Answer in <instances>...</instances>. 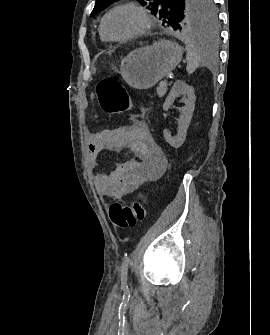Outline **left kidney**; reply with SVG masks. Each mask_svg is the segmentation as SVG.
Wrapping results in <instances>:
<instances>
[{"instance_id":"left-kidney-1","label":"left kidney","mask_w":270,"mask_h":335,"mask_svg":"<svg viewBox=\"0 0 270 335\" xmlns=\"http://www.w3.org/2000/svg\"><path fill=\"white\" fill-rule=\"evenodd\" d=\"M179 94H184V96H187L184 100V108H178L181 112V116L178 120V132L176 136H171L170 132H167V130H163L164 138L172 148H181L183 142L186 140V134L187 130L189 128V124L192 120L194 108H195V94H194V88L192 86H187L183 80H176L169 96H167L164 104H163V110L164 112H167L169 110L170 106H172L175 98L179 96Z\"/></svg>"}]
</instances>
